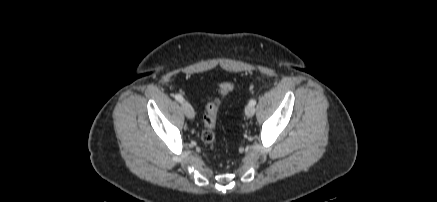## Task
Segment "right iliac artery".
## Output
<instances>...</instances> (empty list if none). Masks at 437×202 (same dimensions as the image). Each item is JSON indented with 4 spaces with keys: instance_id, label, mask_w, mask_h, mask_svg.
<instances>
[{
    "instance_id": "1",
    "label": "right iliac artery",
    "mask_w": 437,
    "mask_h": 202,
    "mask_svg": "<svg viewBox=\"0 0 437 202\" xmlns=\"http://www.w3.org/2000/svg\"><path fill=\"white\" fill-rule=\"evenodd\" d=\"M175 99H176L177 101L181 102V103L184 101V98H183L181 95H179V94H176V95H175Z\"/></svg>"
}]
</instances>
